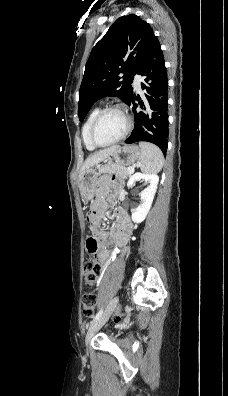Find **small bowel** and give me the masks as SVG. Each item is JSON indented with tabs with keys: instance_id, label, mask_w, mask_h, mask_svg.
Returning <instances> with one entry per match:
<instances>
[{
	"instance_id": "small-bowel-1",
	"label": "small bowel",
	"mask_w": 228,
	"mask_h": 396,
	"mask_svg": "<svg viewBox=\"0 0 228 396\" xmlns=\"http://www.w3.org/2000/svg\"><path fill=\"white\" fill-rule=\"evenodd\" d=\"M116 188H117V181L115 179L110 180L108 184H106V183L101 184L97 191L98 198L92 204V210L95 212L93 231L95 233L96 239L99 242L98 249L94 255L102 269H104L107 266L108 261L110 259V255H111L110 251L106 247V242L108 240H112V241H116L119 246H125L128 238H129V235L131 233V231H130L128 236L120 239L116 228L112 229L108 233L102 231L99 228V219L102 216V213L104 211V196L106 194H110L111 190L116 189ZM116 215H117V217H119V216L123 217L129 223L127 216L125 215V213L122 210H119V209L116 210ZM130 226H131V224H130ZM131 230H132V226H131ZM101 279H102V276H101V274H99L95 280V283L97 285H99L101 282Z\"/></svg>"
}]
</instances>
